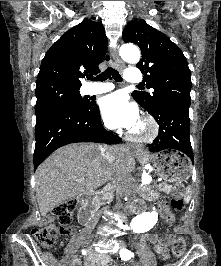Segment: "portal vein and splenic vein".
Segmentation results:
<instances>
[{"mask_svg": "<svg viewBox=\"0 0 221 266\" xmlns=\"http://www.w3.org/2000/svg\"><path fill=\"white\" fill-rule=\"evenodd\" d=\"M78 181H83V179H79Z\"/></svg>", "mask_w": 221, "mask_h": 266, "instance_id": "obj_1", "label": "portal vein and splenic vein"}]
</instances>
